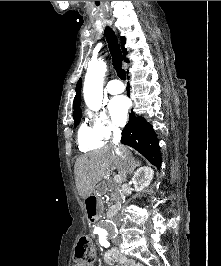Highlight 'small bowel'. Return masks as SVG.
Masks as SVG:
<instances>
[{"mask_svg":"<svg viewBox=\"0 0 221 266\" xmlns=\"http://www.w3.org/2000/svg\"><path fill=\"white\" fill-rule=\"evenodd\" d=\"M102 262L106 266H144L141 263H137L132 259L118 253L117 251H107L102 255Z\"/></svg>","mask_w":221,"mask_h":266,"instance_id":"small-bowel-1","label":"small bowel"}]
</instances>
